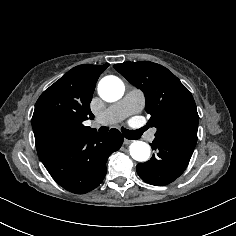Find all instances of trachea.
<instances>
[{
  "label": "trachea",
  "mask_w": 236,
  "mask_h": 236,
  "mask_svg": "<svg viewBox=\"0 0 236 236\" xmlns=\"http://www.w3.org/2000/svg\"><path fill=\"white\" fill-rule=\"evenodd\" d=\"M99 131L101 133H107L108 132V128L105 126H102ZM123 134L127 139H137L140 134L135 132V131H129V130H123Z\"/></svg>",
  "instance_id": "trachea-1"
}]
</instances>
